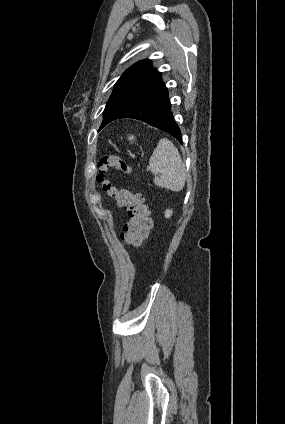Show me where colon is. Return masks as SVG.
<instances>
[{"mask_svg":"<svg viewBox=\"0 0 285 424\" xmlns=\"http://www.w3.org/2000/svg\"><path fill=\"white\" fill-rule=\"evenodd\" d=\"M97 181L117 205L124 208L128 214V222L124 226L122 242L128 246L137 247L148 236L152 228L149 206L142 193H133L124 188H115L106 179L109 169H116L123 174H132L133 168L123 157L115 154H104L98 162Z\"/></svg>","mask_w":285,"mask_h":424,"instance_id":"1","label":"colon"}]
</instances>
